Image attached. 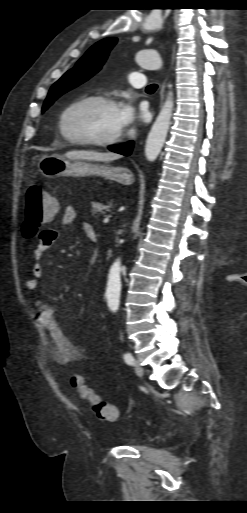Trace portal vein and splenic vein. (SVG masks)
<instances>
[{"label": "portal vein and splenic vein", "mask_w": 247, "mask_h": 513, "mask_svg": "<svg viewBox=\"0 0 247 513\" xmlns=\"http://www.w3.org/2000/svg\"><path fill=\"white\" fill-rule=\"evenodd\" d=\"M109 222V218H104L103 219V223H108Z\"/></svg>", "instance_id": "1"}]
</instances>
